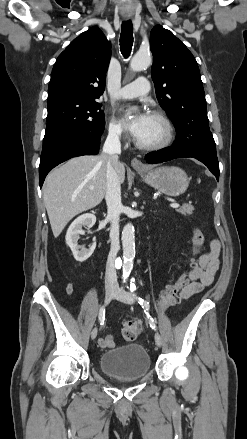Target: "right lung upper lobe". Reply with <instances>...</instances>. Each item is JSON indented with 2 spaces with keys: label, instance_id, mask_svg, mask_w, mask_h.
<instances>
[{
  "label": "right lung upper lobe",
  "instance_id": "cb5924a9",
  "mask_svg": "<svg viewBox=\"0 0 247 439\" xmlns=\"http://www.w3.org/2000/svg\"><path fill=\"white\" fill-rule=\"evenodd\" d=\"M110 42L97 27L74 39L58 56L48 87L47 106L66 100L96 101L103 94Z\"/></svg>",
  "mask_w": 247,
  "mask_h": 439
}]
</instances>
